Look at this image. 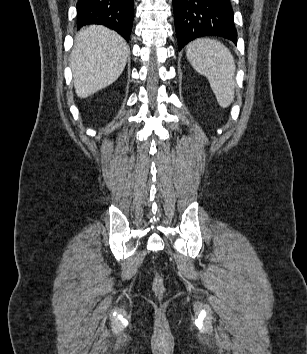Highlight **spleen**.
I'll return each instance as SVG.
<instances>
[{
    "label": "spleen",
    "instance_id": "1",
    "mask_svg": "<svg viewBox=\"0 0 307 354\" xmlns=\"http://www.w3.org/2000/svg\"><path fill=\"white\" fill-rule=\"evenodd\" d=\"M186 55L192 67L208 79L218 104L227 108L236 86L235 61L229 49L217 40L198 38L187 45Z\"/></svg>",
    "mask_w": 307,
    "mask_h": 354
}]
</instances>
